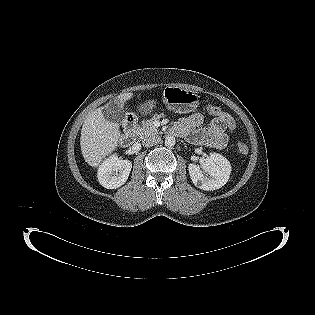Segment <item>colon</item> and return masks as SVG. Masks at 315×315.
<instances>
[{
  "instance_id": "5ec220e1",
  "label": "colon",
  "mask_w": 315,
  "mask_h": 315,
  "mask_svg": "<svg viewBox=\"0 0 315 315\" xmlns=\"http://www.w3.org/2000/svg\"><path fill=\"white\" fill-rule=\"evenodd\" d=\"M206 108H207V111L212 115L214 116L215 118H221L225 121L226 125L228 126V130L229 131H234L237 127V120L235 117L232 116V114L228 111H223L222 107L221 106H214L212 104H207L206 105ZM236 150L238 153L242 154V155H245L248 153V147L245 143H238L236 145Z\"/></svg>"
}]
</instances>
